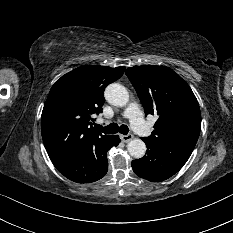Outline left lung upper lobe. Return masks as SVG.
<instances>
[{
	"instance_id": "obj_1",
	"label": "left lung upper lobe",
	"mask_w": 233,
	"mask_h": 233,
	"mask_svg": "<svg viewBox=\"0 0 233 233\" xmlns=\"http://www.w3.org/2000/svg\"><path fill=\"white\" fill-rule=\"evenodd\" d=\"M126 75L143 104L145 115L159 116L151 136L144 139L193 151L200 134L201 113L189 85L164 66L129 67Z\"/></svg>"
}]
</instances>
